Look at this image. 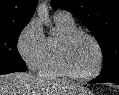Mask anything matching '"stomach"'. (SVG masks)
Instances as JSON below:
<instances>
[{
	"label": "stomach",
	"instance_id": "1",
	"mask_svg": "<svg viewBox=\"0 0 119 95\" xmlns=\"http://www.w3.org/2000/svg\"><path fill=\"white\" fill-rule=\"evenodd\" d=\"M66 95H94L89 89L85 87H77L70 90Z\"/></svg>",
	"mask_w": 119,
	"mask_h": 95
}]
</instances>
